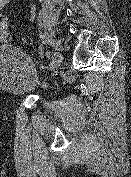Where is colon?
Listing matches in <instances>:
<instances>
[{
    "label": "colon",
    "instance_id": "obj_1",
    "mask_svg": "<svg viewBox=\"0 0 131 177\" xmlns=\"http://www.w3.org/2000/svg\"><path fill=\"white\" fill-rule=\"evenodd\" d=\"M12 32L7 18H0V44L10 41Z\"/></svg>",
    "mask_w": 131,
    "mask_h": 177
}]
</instances>
